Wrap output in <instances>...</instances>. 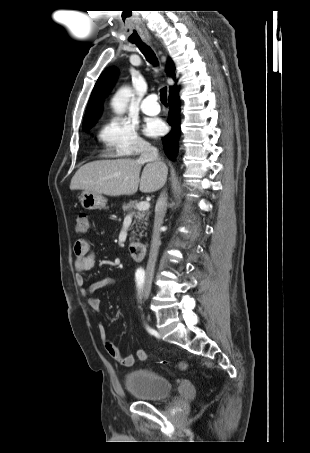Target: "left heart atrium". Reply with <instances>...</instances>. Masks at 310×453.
I'll return each instance as SVG.
<instances>
[{"label":"left heart atrium","instance_id":"obj_1","mask_svg":"<svg viewBox=\"0 0 310 453\" xmlns=\"http://www.w3.org/2000/svg\"><path fill=\"white\" fill-rule=\"evenodd\" d=\"M164 131V124L160 120H153L146 126L145 132L149 136L160 135Z\"/></svg>","mask_w":310,"mask_h":453}]
</instances>
